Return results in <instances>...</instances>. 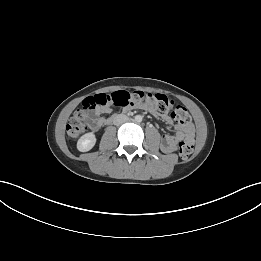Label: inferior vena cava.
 <instances>
[{"label":"inferior vena cava","instance_id":"602c4592","mask_svg":"<svg viewBox=\"0 0 261 261\" xmlns=\"http://www.w3.org/2000/svg\"><path fill=\"white\" fill-rule=\"evenodd\" d=\"M128 121V117L126 115H123V114H120V115H117L114 119V124L115 125H120L124 122Z\"/></svg>","mask_w":261,"mask_h":261}]
</instances>
